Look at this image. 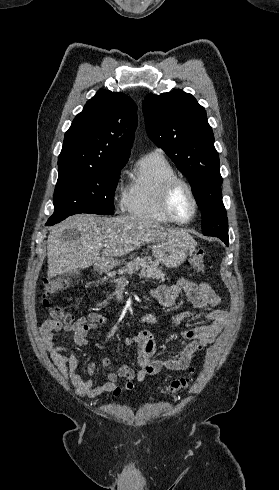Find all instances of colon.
Segmentation results:
<instances>
[{"mask_svg": "<svg viewBox=\"0 0 279 490\" xmlns=\"http://www.w3.org/2000/svg\"><path fill=\"white\" fill-rule=\"evenodd\" d=\"M189 264L191 268L197 273H203L206 269V252L203 248L197 249L190 257ZM64 282L54 281L50 283L45 289L46 307L48 308L50 317L55 321L68 322L70 317L68 316L66 310L59 306H53L50 304L52 295L58 292L63 286ZM192 384V378L190 376H180L174 379L170 386L166 389V393L170 395H177L183 391L189 389Z\"/></svg>", "mask_w": 279, "mask_h": 490, "instance_id": "colon-1", "label": "colon"}]
</instances>
